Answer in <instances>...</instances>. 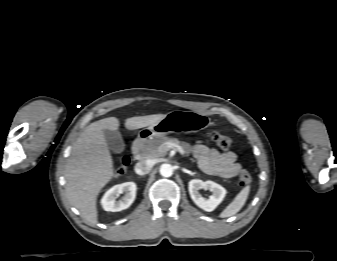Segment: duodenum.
Returning <instances> with one entry per match:
<instances>
[{"mask_svg":"<svg viewBox=\"0 0 337 261\" xmlns=\"http://www.w3.org/2000/svg\"><path fill=\"white\" fill-rule=\"evenodd\" d=\"M145 140V136H139L137 137L133 144H132V154L133 156L137 157L140 153L141 145L143 144Z\"/></svg>","mask_w":337,"mask_h":261,"instance_id":"410a0bca","label":"duodenum"}]
</instances>
